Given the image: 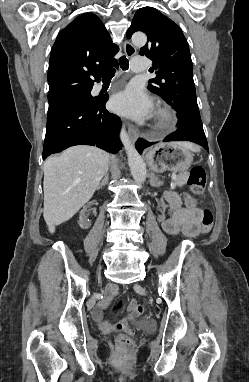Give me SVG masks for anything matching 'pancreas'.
<instances>
[{
	"label": "pancreas",
	"instance_id": "1",
	"mask_svg": "<svg viewBox=\"0 0 249 382\" xmlns=\"http://www.w3.org/2000/svg\"><path fill=\"white\" fill-rule=\"evenodd\" d=\"M187 180L188 177L186 174L178 175L177 178L173 181V186L182 187L184 184H186Z\"/></svg>",
	"mask_w": 249,
	"mask_h": 382
}]
</instances>
